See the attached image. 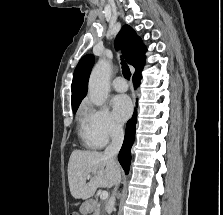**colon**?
<instances>
[{
  "label": "colon",
  "mask_w": 223,
  "mask_h": 215,
  "mask_svg": "<svg viewBox=\"0 0 223 215\" xmlns=\"http://www.w3.org/2000/svg\"><path fill=\"white\" fill-rule=\"evenodd\" d=\"M70 215H79L78 213H72V214H70Z\"/></svg>",
  "instance_id": "5ec220e1"
}]
</instances>
